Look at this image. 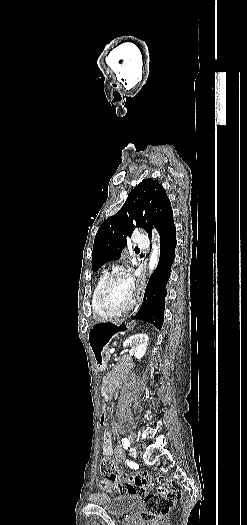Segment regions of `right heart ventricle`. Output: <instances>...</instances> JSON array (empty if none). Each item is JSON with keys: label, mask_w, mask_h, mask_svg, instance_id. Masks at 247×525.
<instances>
[{"label": "right heart ventricle", "mask_w": 247, "mask_h": 525, "mask_svg": "<svg viewBox=\"0 0 247 525\" xmlns=\"http://www.w3.org/2000/svg\"><path fill=\"white\" fill-rule=\"evenodd\" d=\"M108 275V273L106 271H103L102 274L100 275L99 279H98V282H97V285ZM96 285V287H97ZM95 290L96 288L94 289L92 295H91V306H92V312H93V317H111V315H109L108 313H105L104 311L101 310L100 306H99V303H100V299L97 297L96 293H95ZM131 288H130V292H131Z\"/></svg>", "instance_id": "right-heart-ventricle-1"}]
</instances>
